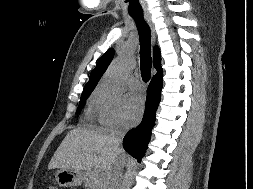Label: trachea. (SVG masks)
<instances>
[{
    "mask_svg": "<svg viewBox=\"0 0 253 189\" xmlns=\"http://www.w3.org/2000/svg\"><path fill=\"white\" fill-rule=\"evenodd\" d=\"M131 5L132 3L129 6ZM130 16L134 19L139 32L141 76L144 82H148L151 77L152 68L151 31L143 14H130Z\"/></svg>",
    "mask_w": 253,
    "mask_h": 189,
    "instance_id": "1",
    "label": "trachea"
}]
</instances>
